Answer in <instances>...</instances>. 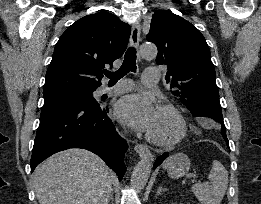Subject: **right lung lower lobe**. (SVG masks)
<instances>
[{
  "label": "right lung lower lobe",
  "mask_w": 261,
  "mask_h": 204,
  "mask_svg": "<svg viewBox=\"0 0 261 204\" xmlns=\"http://www.w3.org/2000/svg\"><path fill=\"white\" fill-rule=\"evenodd\" d=\"M108 108L96 100H75L44 105L30 161L31 172L50 155L83 148L100 156L122 179L127 142L106 116Z\"/></svg>",
  "instance_id": "obj_1"
}]
</instances>
